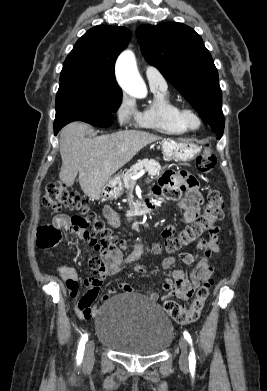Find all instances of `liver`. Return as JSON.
<instances>
[{
    "label": "liver",
    "instance_id": "obj_1",
    "mask_svg": "<svg viewBox=\"0 0 267 391\" xmlns=\"http://www.w3.org/2000/svg\"><path fill=\"white\" fill-rule=\"evenodd\" d=\"M88 124L72 122L60 132L62 166L60 180L74 184L79 174L82 191L91 199H99L104 184L127 164L142 148L160 139L139 130H124L88 139Z\"/></svg>",
    "mask_w": 267,
    "mask_h": 391
}]
</instances>
